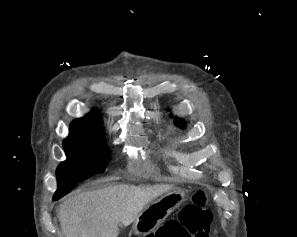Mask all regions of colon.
Segmentation results:
<instances>
[{
	"label": "colon",
	"instance_id": "5ec220e1",
	"mask_svg": "<svg viewBox=\"0 0 297 237\" xmlns=\"http://www.w3.org/2000/svg\"><path fill=\"white\" fill-rule=\"evenodd\" d=\"M208 199L203 191H196L191 203L179 213L177 219L161 226L146 237H208L212 213L207 208Z\"/></svg>",
	"mask_w": 297,
	"mask_h": 237
}]
</instances>
